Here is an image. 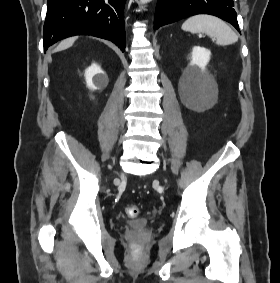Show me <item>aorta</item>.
Listing matches in <instances>:
<instances>
[{
    "mask_svg": "<svg viewBox=\"0 0 280 283\" xmlns=\"http://www.w3.org/2000/svg\"><path fill=\"white\" fill-rule=\"evenodd\" d=\"M151 0H140V4H146L148 2H150Z\"/></svg>",
    "mask_w": 280,
    "mask_h": 283,
    "instance_id": "1",
    "label": "aorta"
}]
</instances>
